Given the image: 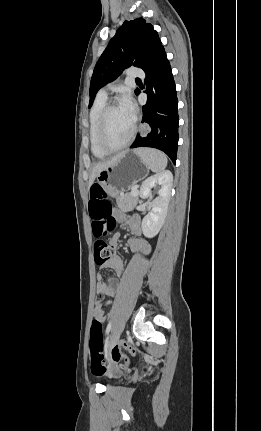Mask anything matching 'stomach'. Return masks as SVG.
<instances>
[{"label": "stomach", "instance_id": "1", "mask_svg": "<svg viewBox=\"0 0 261 431\" xmlns=\"http://www.w3.org/2000/svg\"><path fill=\"white\" fill-rule=\"evenodd\" d=\"M149 169L136 150L126 151L114 165L97 175V181L107 194L116 196L143 180Z\"/></svg>", "mask_w": 261, "mask_h": 431}]
</instances>
